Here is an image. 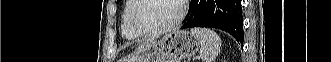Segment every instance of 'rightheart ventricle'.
Listing matches in <instances>:
<instances>
[{
    "mask_svg": "<svg viewBox=\"0 0 331 62\" xmlns=\"http://www.w3.org/2000/svg\"><path fill=\"white\" fill-rule=\"evenodd\" d=\"M133 5H134V0L126 1L122 13L121 33L122 36L127 40H135L140 37V35L133 30L130 24V12Z\"/></svg>",
    "mask_w": 331,
    "mask_h": 62,
    "instance_id": "right-heart-ventricle-1",
    "label": "right heart ventricle"
}]
</instances>
